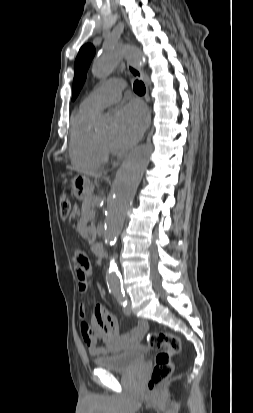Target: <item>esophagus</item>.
Listing matches in <instances>:
<instances>
[{"mask_svg":"<svg viewBox=\"0 0 253 413\" xmlns=\"http://www.w3.org/2000/svg\"><path fill=\"white\" fill-rule=\"evenodd\" d=\"M127 68H128L129 73L133 77H135L137 79H140V80H143L144 74H143V71L140 68H138L137 66L132 64L130 61L127 62Z\"/></svg>","mask_w":253,"mask_h":413,"instance_id":"34e87169","label":"esophagus"}]
</instances>
